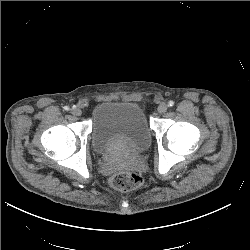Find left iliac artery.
Wrapping results in <instances>:
<instances>
[{
    "mask_svg": "<svg viewBox=\"0 0 250 250\" xmlns=\"http://www.w3.org/2000/svg\"><path fill=\"white\" fill-rule=\"evenodd\" d=\"M168 106H169V107L174 106V101L170 100V101L168 102Z\"/></svg>",
    "mask_w": 250,
    "mask_h": 250,
    "instance_id": "44dca946",
    "label": "left iliac artery"
}]
</instances>
